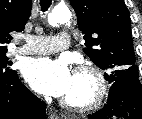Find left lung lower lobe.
I'll return each instance as SVG.
<instances>
[{
	"label": "left lung lower lobe",
	"instance_id": "0a47b994",
	"mask_svg": "<svg viewBox=\"0 0 142 119\" xmlns=\"http://www.w3.org/2000/svg\"><path fill=\"white\" fill-rule=\"evenodd\" d=\"M88 119H142V85L137 76L113 82L107 104Z\"/></svg>",
	"mask_w": 142,
	"mask_h": 119
}]
</instances>
